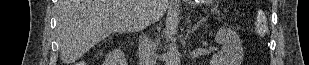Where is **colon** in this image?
<instances>
[{
    "label": "colon",
    "instance_id": "5ec220e1",
    "mask_svg": "<svg viewBox=\"0 0 309 65\" xmlns=\"http://www.w3.org/2000/svg\"><path fill=\"white\" fill-rule=\"evenodd\" d=\"M255 29L256 33L261 37H263L267 32L268 20L267 16L262 12H259L256 16Z\"/></svg>",
    "mask_w": 309,
    "mask_h": 65
}]
</instances>
